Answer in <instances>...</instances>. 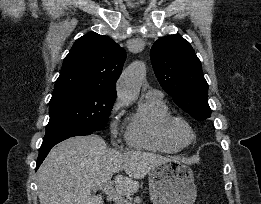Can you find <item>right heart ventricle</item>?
Returning a JSON list of instances; mask_svg holds the SVG:
<instances>
[{
  "label": "right heart ventricle",
  "mask_w": 261,
  "mask_h": 204,
  "mask_svg": "<svg viewBox=\"0 0 261 204\" xmlns=\"http://www.w3.org/2000/svg\"><path fill=\"white\" fill-rule=\"evenodd\" d=\"M170 116L169 107L162 98H143L136 113L128 119L125 131L127 144L139 150L177 152L180 148L166 137L163 130V124Z\"/></svg>",
  "instance_id": "e07e8e85"
}]
</instances>
